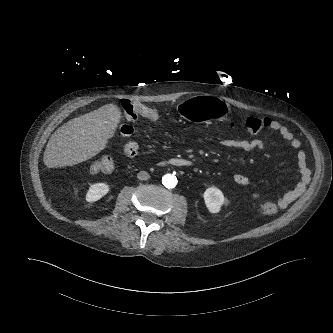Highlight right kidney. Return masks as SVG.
<instances>
[{
  "label": "right kidney",
  "mask_w": 333,
  "mask_h": 333,
  "mask_svg": "<svg viewBox=\"0 0 333 333\" xmlns=\"http://www.w3.org/2000/svg\"><path fill=\"white\" fill-rule=\"evenodd\" d=\"M109 190V186L105 183H94L89 187L86 200L88 202H95L105 196Z\"/></svg>",
  "instance_id": "right-kidney-1"
}]
</instances>
